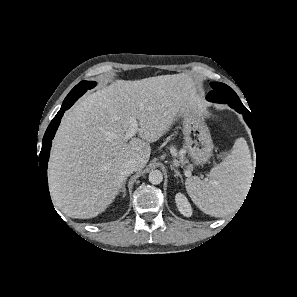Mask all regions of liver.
Here are the masks:
<instances>
[{
    "label": "liver",
    "instance_id": "1",
    "mask_svg": "<svg viewBox=\"0 0 297 297\" xmlns=\"http://www.w3.org/2000/svg\"><path fill=\"white\" fill-rule=\"evenodd\" d=\"M197 108L192 86L180 74L117 80L84 96L65 113L53 141L48 182L54 205L80 219L105 211L126 179L122 164L134 160L144 168L150 143L160 139L178 115ZM132 120L139 124V138L128 142Z\"/></svg>",
    "mask_w": 297,
    "mask_h": 297
}]
</instances>
